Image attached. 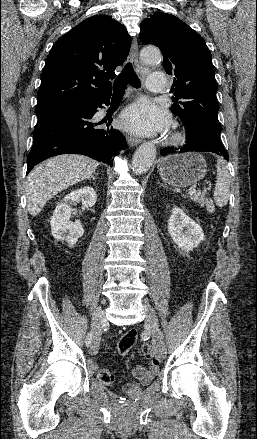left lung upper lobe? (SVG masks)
<instances>
[{
  "label": "left lung upper lobe",
  "mask_w": 257,
  "mask_h": 439,
  "mask_svg": "<svg viewBox=\"0 0 257 439\" xmlns=\"http://www.w3.org/2000/svg\"><path fill=\"white\" fill-rule=\"evenodd\" d=\"M140 40L163 53L165 71L174 76L172 112L184 125L201 124L220 136L218 86L204 39L176 16L155 13L141 26Z\"/></svg>",
  "instance_id": "left-lung-upper-lobe-1"
}]
</instances>
